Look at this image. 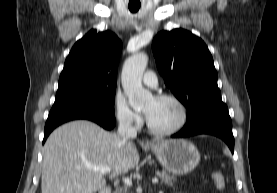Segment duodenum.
<instances>
[{"label":"duodenum","instance_id":"duodenum-1","mask_svg":"<svg viewBox=\"0 0 277 193\" xmlns=\"http://www.w3.org/2000/svg\"><path fill=\"white\" fill-rule=\"evenodd\" d=\"M99 193H112V189L110 187L102 188Z\"/></svg>","mask_w":277,"mask_h":193}]
</instances>
